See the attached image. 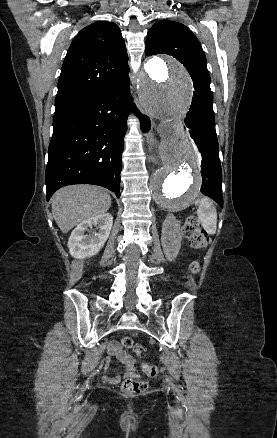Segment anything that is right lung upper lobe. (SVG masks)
Returning <instances> with one entry per match:
<instances>
[{
	"label": "right lung upper lobe",
	"instance_id": "right-lung-upper-lobe-1",
	"mask_svg": "<svg viewBox=\"0 0 277 438\" xmlns=\"http://www.w3.org/2000/svg\"><path fill=\"white\" fill-rule=\"evenodd\" d=\"M125 42L119 27L99 21L82 29L65 57L58 81L55 109L82 96L111 85L129 72ZM110 62L115 67L100 72L97 65ZM77 65L82 68L74 69Z\"/></svg>",
	"mask_w": 277,
	"mask_h": 438
}]
</instances>
